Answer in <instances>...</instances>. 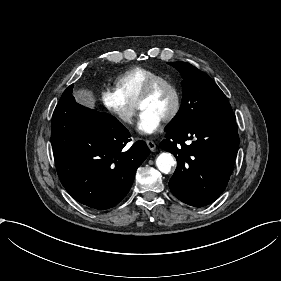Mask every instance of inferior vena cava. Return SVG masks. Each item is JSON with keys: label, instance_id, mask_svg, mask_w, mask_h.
Returning a JSON list of instances; mask_svg holds the SVG:
<instances>
[{"label": "inferior vena cava", "instance_id": "inferior-vena-cava-1", "mask_svg": "<svg viewBox=\"0 0 281 281\" xmlns=\"http://www.w3.org/2000/svg\"><path fill=\"white\" fill-rule=\"evenodd\" d=\"M125 121H126V122H129V121H131V120H130L129 118H126Z\"/></svg>", "mask_w": 281, "mask_h": 281}]
</instances>
